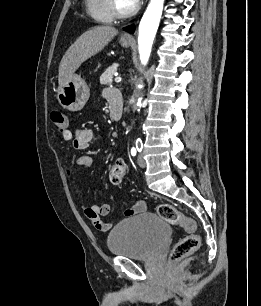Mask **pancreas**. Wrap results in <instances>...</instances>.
<instances>
[{"label": "pancreas", "instance_id": "obj_1", "mask_svg": "<svg viewBox=\"0 0 261 306\" xmlns=\"http://www.w3.org/2000/svg\"><path fill=\"white\" fill-rule=\"evenodd\" d=\"M117 64L111 65L100 77V84L110 85L113 82V75L117 71Z\"/></svg>", "mask_w": 261, "mask_h": 306}]
</instances>
